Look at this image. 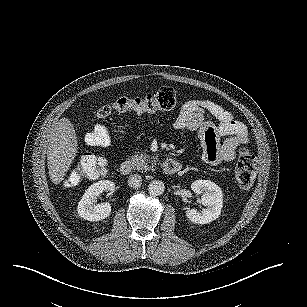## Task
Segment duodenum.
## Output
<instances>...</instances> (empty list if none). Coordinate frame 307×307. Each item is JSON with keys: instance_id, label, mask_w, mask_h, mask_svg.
Wrapping results in <instances>:
<instances>
[{"instance_id": "410a0bca", "label": "duodenum", "mask_w": 307, "mask_h": 307, "mask_svg": "<svg viewBox=\"0 0 307 307\" xmlns=\"http://www.w3.org/2000/svg\"><path fill=\"white\" fill-rule=\"evenodd\" d=\"M182 168L180 162L174 159H167L162 165V170L166 175H174ZM132 172V163L128 160L123 161L120 164V173L122 175H129Z\"/></svg>"}]
</instances>
